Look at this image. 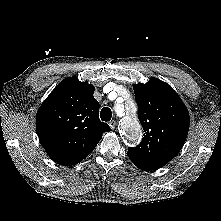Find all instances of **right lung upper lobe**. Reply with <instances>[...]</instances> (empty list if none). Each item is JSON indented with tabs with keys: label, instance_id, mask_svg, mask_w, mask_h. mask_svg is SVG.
<instances>
[{
	"label": "right lung upper lobe",
	"instance_id": "obj_1",
	"mask_svg": "<svg viewBox=\"0 0 221 221\" xmlns=\"http://www.w3.org/2000/svg\"><path fill=\"white\" fill-rule=\"evenodd\" d=\"M94 86L69 77L60 82L37 112L39 140L55 162L72 166L89 155L108 124L99 119Z\"/></svg>",
	"mask_w": 221,
	"mask_h": 221
}]
</instances>
